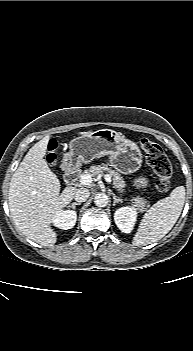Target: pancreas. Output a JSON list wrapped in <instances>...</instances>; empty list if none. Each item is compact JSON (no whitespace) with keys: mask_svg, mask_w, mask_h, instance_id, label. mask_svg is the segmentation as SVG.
I'll list each match as a JSON object with an SVG mask.
<instances>
[{"mask_svg":"<svg viewBox=\"0 0 193 351\" xmlns=\"http://www.w3.org/2000/svg\"><path fill=\"white\" fill-rule=\"evenodd\" d=\"M105 172L110 177H112L114 188H116L119 192H123L124 187L126 185L123 177L121 176V174H119L115 170H112L111 168L108 167V165H106L104 163H102L101 165H93L90 167L89 170H86L84 173H86V174L91 173V176L97 177L99 175L104 174ZM132 201L135 204V206L138 207V209L140 211H143L145 209V207L148 206L146 199H144L142 197H136V198L132 199Z\"/></svg>","mask_w":193,"mask_h":351,"instance_id":"1","label":"pancreas"}]
</instances>
